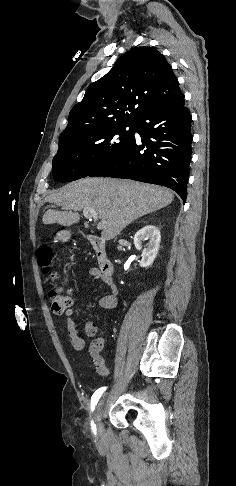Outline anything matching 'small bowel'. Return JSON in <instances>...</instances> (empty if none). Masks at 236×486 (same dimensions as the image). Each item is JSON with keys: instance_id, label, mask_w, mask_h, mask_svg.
<instances>
[{"instance_id": "obj_1", "label": "small bowel", "mask_w": 236, "mask_h": 486, "mask_svg": "<svg viewBox=\"0 0 236 486\" xmlns=\"http://www.w3.org/2000/svg\"><path fill=\"white\" fill-rule=\"evenodd\" d=\"M90 275L97 281L103 282L108 286L110 293L99 299L98 305L104 309H113L117 305L118 288L115 285L112 277L103 275L99 269L92 268ZM74 310L69 309L65 312L67 323V337L71 342L74 349L81 351L85 347V341L78 335L76 323L73 319ZM85 333L88 337H94L97 334V325L93 321H88L85 325ZM104 341L102 338L93 340L89 346V352L93 358L94 365L98 373L102 376H107L110 370L105 366L103 359L99 356V352L102 349Z\"/></svg>"}]
</instances>
